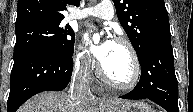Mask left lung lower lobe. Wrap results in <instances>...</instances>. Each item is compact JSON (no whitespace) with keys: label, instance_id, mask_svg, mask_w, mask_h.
Segmentation results:
<instances>
[{"label":"left lung lower lobe","instance_id":"obj_1","mask_svg":"<svg viewBox=\"0 0 193 112\" xmlns=\"http://www.w3.org/2000/svg\"><path fill=\"white\" fill-rule=\"evenodd\" d=\"M139 62V83L131 92L120 97L133 100L150 99L168 112H179L178 81L174 70L171 36L151 44Z\"/></svg>","mask_w":193,"mask_h":112}]
</instances>
